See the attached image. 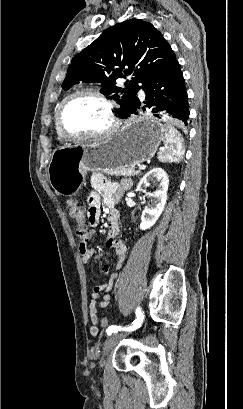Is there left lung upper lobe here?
<instances>
[{"mask_svg": "<svg viewBox=\"0 0 243 409\" xmlns=\"http://www.w3.org/2000/svg\"><path fill=\"white\" fill-rule=\"evenodd\" d=\"M176 60L162 34L140 19L126 20L108 28L77 54L68 68L62 88L82 82H99L102 92L116 100L125 117L138 100V83L144 85ZM131 75L125 88L116 86L118 78Z\"/></svg>", "mask_w": 243, "mask_h": 409, "instance_id": "left-lung-upper-lobe-1", "label": "left lung upper lobe"}]
</instances>
